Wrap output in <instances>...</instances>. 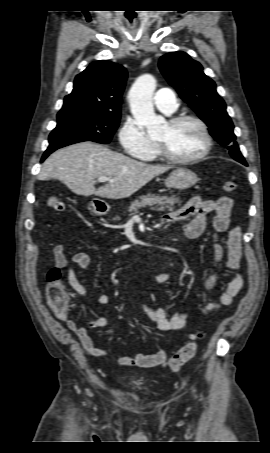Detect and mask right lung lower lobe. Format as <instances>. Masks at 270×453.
<instances>
[{
  "mask_svg": "<svg viewBox=\"0 0 270 453\" xmlns=\"http://www.w3.org/2000/svg\"><path fill=\"white\" fill-rule=\"evenodd\" d=\"M57 149H58V148H48V149L45 151V153L43 154L42 159H41V162H43L49 154H51L52 152H54V151L57 150Z\"/></svg>",
  "mask_w": 270,
  "mask_h": 453,
  "instance_id": "1",
  "label": "right lung lower lobe"
}]
</instances>
